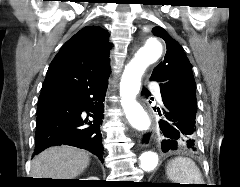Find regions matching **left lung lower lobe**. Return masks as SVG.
I'll return each mask as SVG.
<instances>
[{
    "instance_id": "0a47b994",
    "label": "left lung lower lobe",
    "mask_w": 240,
    "mask_h": 187,
    "mask_svg": "<svg viewBox=\"0 0 240 187\" xmlns=\"http://www.w3.org/2000/svg\"><path fill=\"white\" fill-rule=\"evenodd\" d=\"M145 97L150 92L145 88L142 91ZM163 100V119L159 122L162 134L167 138L162 141L161 147L164 153L184 148L190 152L197 150L196 143V108L186 104L172 96L161 93ZM153 109L161 113L159 108Z\"/></svg>"
}]
</instances>
